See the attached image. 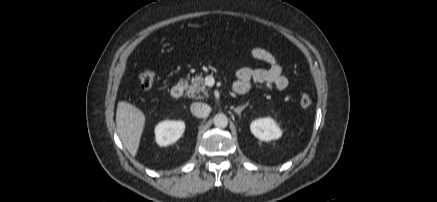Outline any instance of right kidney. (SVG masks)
Here are the masks:
<instances>
[{
	"mask_svg": "<svg viewBox=\"0 0 437 202\" xmlns=\"http://www.w3.org/2000/svg\"><path fill=\"white\" fill-rule=\"evenodd\" d=\"M185 130V123L183 121L166 120L160 122L155 127L156 142L160 146H168L175 143Z\"/></svg>",
	"mask_w": 437,
	"mask_h": 202,
	"instance_id": "obj_1",
	"label": "right kidney"
}]
</instances>
